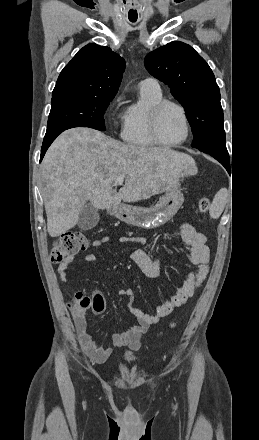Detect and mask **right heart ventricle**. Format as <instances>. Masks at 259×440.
I'll return each mask as SVG.
<instances>
[{"label":"right heart ventricle","mask_w":259,"mask_h":440,"mask_svg":"<svg viewBox=\"0 0 259 440\" xmlns=\"http://www.w3.org/2000/svg\"><path fill=\"white\" fill-rule=\"evenodd\" d=\"M163 99L162 94L140 91V100L129 105L123 116L122 140L137 148H151L156 144L149 132L151 108Z\"/></svg>","instance_id":"1"}]
</instances>
